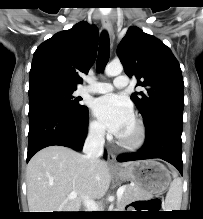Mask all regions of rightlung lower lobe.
I'll return each mask as SVG.
<instances>
[{
	"label": "right lung lower lobe",
	"mask_w": 203,
	"mask_h": 219,
	"mask_svg": "<svg viewBox=\"0 0 203 219\" xmlns=\"http://www.w3.org/2000/svg\"><path fill=\"white\" fill-rule=\"evenodd\" d=\"M87 123L88 109L81 114H71L54 105H29L27 162L48 146L60 145L80 150L86 138Z\"/></svg>",
	"instance_id": "98d812e1"
}]
</instances>
